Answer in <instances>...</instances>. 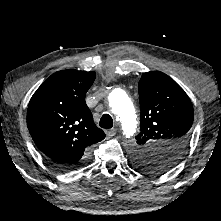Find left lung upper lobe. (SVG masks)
<instances>
[{
	"label": "left lung upper lobe",
	"mask_w": 221,
	"mask_h": 221,
	"mask_svg": "<svg viewBox=\"0 0 221 221\" xmlns=\"http://www.w3.org/2000/svg\"><path fill=\"white\" fill-rule=\"evenodd\" d=\"M138 86L141 119L133 158L147 172L163 173L177 164L189 144L193 106L185 91L160 71L144 73Z\"/></svg>",
	"instance_id": "5c2ea615"
}]
</instances>
